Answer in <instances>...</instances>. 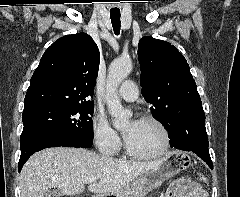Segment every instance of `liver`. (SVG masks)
<instances>
[{
  "instance_id": "obj_1",
  "label": "liver",
  "mask_w": 240,
  "mask_h": 197,
  "mask_svg": "<svg viewBox=\"0 0 240 197\" xmlns=\"http://www.w3.org/2000/svg\"><path fill=\"white\" fill-rule=\"evenodd\" d=\"M162 161H127L81 148H48L32 155L23 166L19 178L21 197H44L49 189L77 195L84 191L86 179L95 180L89 183L90 192L114 194Z\"/></svg>"
}]
</instances>
